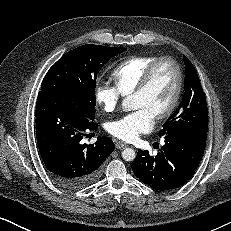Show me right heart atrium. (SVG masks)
Segmentation results:
<instances>
[{
	"instance_id": "right-heart-atrium-1",
	"label": "right heart atrium",
	"mask_w": 231,
	"mask_h": 231,
	"mask_svg": "<svg viewBox=\"0 0 231 231\" xmlns=\"http://www.w3.org/2000/svg\"><path fill=\"white\" fill-rule=\"evenodd\" d=\"M94 97L97 104L106 112L114 111L121 102L122 94L115 85L99 83L94 90Z\"/></svg>"
}]
</instances>
